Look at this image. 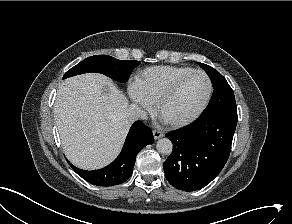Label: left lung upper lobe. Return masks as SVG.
Wrapping results in <instances>:
<instances>
[{
	"mask_svg": "<svg viewBox=\"0 0 292 224\" xmlns=\"http://www.w3.org/2000/svg\"><path fill=\"white\" fill-rule=\"evenodd\" d=\"M198 64L209 75L213 84V88H214L212 98L207 108L202 113V115L209 114L213 111H216L218 109H221L230 105H236L233 90L227 83L226 79L211 66L203 64V63H198Z\"/></svg>",
	"mask_w": 292,
	"mask_h": 224,
	"instance_id": "left-lung-upper-lobe-1",
	"label": "left lung upper lobe"
}]
</instances>
